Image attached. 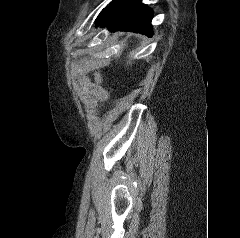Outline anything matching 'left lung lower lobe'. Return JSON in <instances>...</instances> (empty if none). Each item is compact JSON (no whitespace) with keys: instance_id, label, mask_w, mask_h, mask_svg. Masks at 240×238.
Segmentation results:
<instances>
[{"instance_id":"0a47b994","label":"left lung lower lobe","mask_w":240,"mask_h":238,"mask_svg":"<svg viewBox=\"0 0 240 238\" xmlns=\"http://www.w3.org/2000/svg\"><path fill=\"white\" fill-rule=\"evenodd\" d=\"M152 10L141 0H112L98 15L95 26L109 30L131 31L151 36Z\"/></svg>"}]
</instances>
